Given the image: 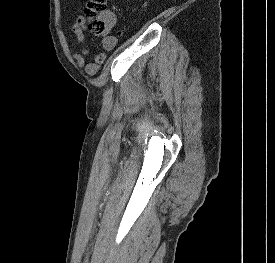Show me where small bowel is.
<instances>
[{
    "label": "small bowel",
    "mask_w": 275,
    "mask_h": 263,
    "mask_svg": "<svg viewBox=\"0 0 275 263\" xmlns=\"http://www.w3.org/2000/svg\"><path fill=\"white\" fill-rule=\"evenodd\" d=\"M106 17L108 19L109 25L111 27L114 26L116 22L115 16L112 13H107ZM85 25L86 19L84 16L80 15L78 16L72 27V32L78 44L80 45V52L75 53L73 55V58L76 61L78 67L84 68L85 72L88 75L93 76L100 70V67L104 64L106 60V54L104 52H98L93 57L92 61L86 64V58L89 55V50L85 46ZM117 42L118 40L116 37L109 36L102 40V46L104 50L111 51L116 47Z\"/></svg>",
    "instance_id": "1"
}]
</instances>
